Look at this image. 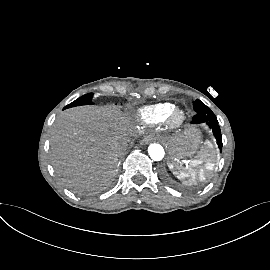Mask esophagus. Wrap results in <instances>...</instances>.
I'll return each instance as SVG.
<instances>
[{
    "instance_id": "esophagus-1",
    "label": "esophagus",
    "mask_w": 270,
    "mask_h": 270,
    "mask_svg": "<svg viewBox=\"0 0 270 270\" xmlns=\"http://www.w3.org/2000/svg\"><path fill=\"white\" fill-rule=\"evenodd\" d=\"M151 142V138L150 137H145L142 141H141V144H148Z\"/></svg>"
}]
</instances>
